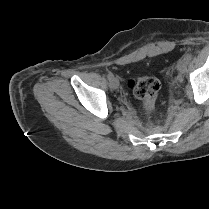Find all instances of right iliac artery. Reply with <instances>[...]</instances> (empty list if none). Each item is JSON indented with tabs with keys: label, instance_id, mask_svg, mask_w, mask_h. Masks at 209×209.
<instances>
[{
	"label": "right iliac artery",
	"instance_id": "82829eb1",
	"mask_svg": "<svg viewBox=\"0 0 209 209\" xmlns=\"http://www.w3.org/2000/svg\"><path fill=\"white\" fill-rule=\"evenodd\" d=\"M113 77H114L113 74H112L111 72H109L108 75H107V78H108L109 80H111Z\"/></svg>",
	"mask_w": 209,
	"mask_h": 209
}]
</instances>
